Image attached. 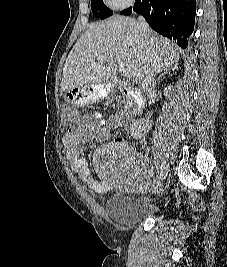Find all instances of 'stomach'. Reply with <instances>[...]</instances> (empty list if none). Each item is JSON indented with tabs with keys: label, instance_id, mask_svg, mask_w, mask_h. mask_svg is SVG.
Wrapping results in <instances>:
<instances>
[{
	"label": "stomach",
	"instance_id": "obj_1",
	"mask_svg": "<svg viewBox=\"0 0 227 267\" xmlns=\"http://www.w3.org/2000/svg\"><path fill=\"white\" fill-rule=\"evenodd\" d=\"M106 85H85V87H72V91H65L61 104H83L103 98L109 94Z\"/></svg>",
	"mask_w": 227,
	"mask_h": 267
}]
</instances>
